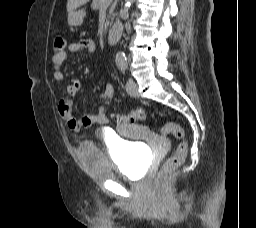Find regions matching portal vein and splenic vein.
<instances>
[{"instance_id":"portal-vein-and-splenic-vein-1","label":"portal vein and splenic vein","mask_w":256,"mask_h":228,"mask_svg":"<svg viewBox=\"0 0 256 228\" xmlns=\"http://www.w3.org/2000/svg\"><path fill=\"white\" fill-rule=\"evenodd\" d=\"M102 2H103L105 5H109V4L112 2V0H102Z\"/></svg>"}]
</instances>
